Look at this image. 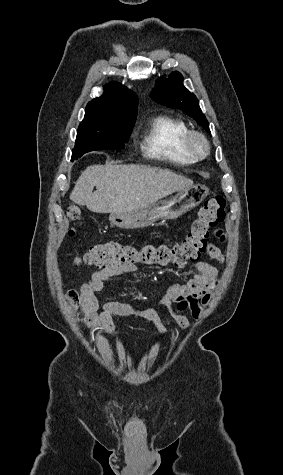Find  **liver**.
Segmentation results:
<instances>
[{
  "instance_id": "1",
  "label": "liver",
  "mask_w": 283,
  "mask_h": 475,
  "mask_svg": "<svg viewBox=\"0 0 283 475\" xmlns=\"http://www.w3.org/2000/svg\"><path fill=\"white\" fill-rule=\"evenodd\" d=\"M192 186V180L171 170L139 164L89 166L79 176L70 200L97 214L131 212Z\"/></svg>"
}]
</instances>
